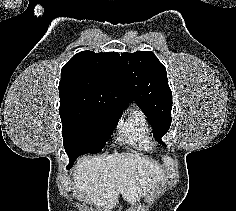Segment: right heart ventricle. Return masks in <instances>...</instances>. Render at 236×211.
<instances>
[{
	"instance_id": "right-heart-ventricle-1",
	"label": "right heart ventricle",
	"mask_w": 236,
	"mask_h": 211,
	"mask_svg": "<svg viewBox=\"0 0 236 211\" xmlns=\"http://www.w3.org/2000/svg\"><path fill=\"white\" fill-rule=\"evenodd\" d=\"M117 139L138 151H152L153 143L149 136V125L142 111L135 109L129 113L119 127Z\"/></svg>"
}]
</instances>
